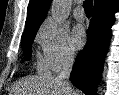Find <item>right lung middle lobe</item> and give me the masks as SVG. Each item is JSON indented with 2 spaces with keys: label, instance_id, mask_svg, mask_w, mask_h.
<instances>
[{
  "label": "right lung middle lobe",
  "instance_id": "right-lung-middle-lobe-1",
  "mask_svg": "<svg viewBox=\"0 0 119 95\" xmlns=\"http://www.w3.org/2000/svg\"><path fill=\"white\" fill-rule=\"evenodd\" d=\"M37 31H38V29H34V30L26 32L22 35L21 43H22V49L24 52L25 60H29L31 57V53H32L31 45H32L33 39H34Z\"/></svg>",
  "mask_w": 119,
  "mask_h": 95
}]
</instances>
